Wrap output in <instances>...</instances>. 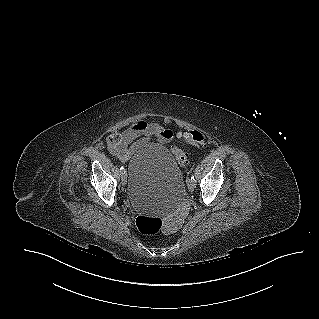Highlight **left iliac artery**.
I'll list each match as a JSON object with an SVG mask.
<instances>
[{
  "label": "left iliac artery",
  "instance_id": "44dca946",
  "mask_svg": "<svg viewBox=\"0 0 319 319\" xmlns=\"http://www.w3.org/2000/svg\"><path fill=\"white\" fill-rule=\"evenodd\" d=\"M190 182H193V183H195V185H196V180H195V178H194V175H191Z\"/></svg>",
  "mask_w": 319,
  "mask_h": 319
}]
</instances>
